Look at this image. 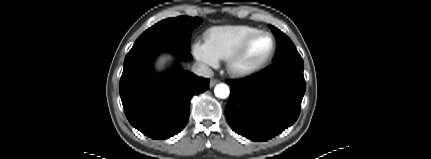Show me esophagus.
Listing matches in <instances>:
<instances>
[{"label":"esophagus","instance_id":"34e87169","mask_svg":"<svg viewBox=\"0 0 431 159\" xmlns=\"http://www.w3.org/2000/svg\"><path fill=\"white\" fill-rule=\"evenodd\" d=\"M219 82V80L217 79H211L209 82V86L212 88L213 86H215L217 83Z\"/></svg>","mask_w":431,"mask_h":159}]
</instances>
